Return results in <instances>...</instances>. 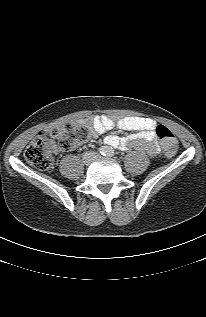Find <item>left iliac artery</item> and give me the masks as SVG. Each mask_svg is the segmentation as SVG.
<instances>
[{"instance_id":"left-iliac-artery-1","label":"left iliac artery","mask_w":206,"mask_h":317,"mask_svg":"<svg viewBox=\"0 0 206 317\" xmlns=\"http://www.w3.org/2000/svg\"><path fill=\"white\" fill-rule=\"evenodd\" d=\"M108 157H113L115 155L114 150L112 148L107 149V154Z\"/></svg>"}]
</instances>
